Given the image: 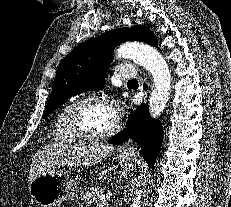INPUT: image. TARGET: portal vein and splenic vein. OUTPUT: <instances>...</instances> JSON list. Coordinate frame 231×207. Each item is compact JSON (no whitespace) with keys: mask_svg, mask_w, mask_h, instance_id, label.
Here are the masks:
<instances>
[{"mask_svg":"<svg viewBox=\"0 0 231 207\" xmlns=\"http://www.w3.org/2000/svg\"><path fill=\"white\" fill-rule=\"evenodd\" d=\"M106 204H107V203L103 201V202L99 203L97 206H98V207H104Z\"/></svg>","mask_w":231,"mask_h":207,"instance_id":"obj_1","label":"portal vein and splenic vein"}]
</instances>
